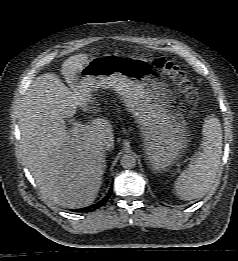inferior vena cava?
I'll use <instances>...</instances> for the list:
<instances>
[{
    "label": "inferior vena cava",
    "instance_id": "602c4592",
    "mask_svg": "<svg viewBox=\"0 0 238 261\" xmlns=\"http://www.w3.org/2000/svg\"><path fill=\"white\" fill-rule=\"evenodd\" d=\"M100 150H101L102 152H105V151H107V150H110V146H109L108 144H102V145L100 146Z\"/></svg>",
    "mask_w": 238,
    "mask_h": 261
}]
</instances>
